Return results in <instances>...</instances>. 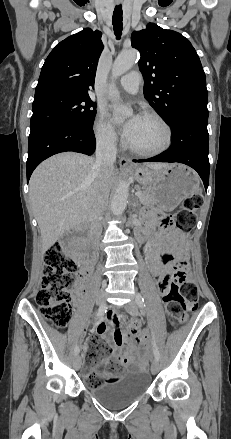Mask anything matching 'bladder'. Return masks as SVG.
I'll list each match as a JSON object with an SVG mask.
<instances>
[{"label": "bladder", "instance_id": "bladder-1", "mask_svg": "<svg viewBox=\"0 0 231 439\" xmlns=\"http://www.w3.org/2000/svg\"><path fill=\"white\" fill-rule=\"evenodd\" d=\"M151 375L145 369L130 370L124 379L98 387H89L90 395L111 409L123 408L138 400L148 391Z\"/></svg>", "mask_w": 231, "mask_h": 439}]
</instances>
